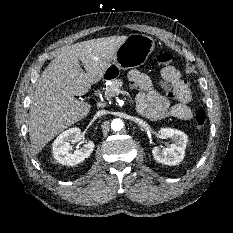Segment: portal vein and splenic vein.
Listing matches in <instances>:
<instances>
[{"label":"portal vein and splenic vein","instance_id":"portal-vein-and-splenic-vein-1","mask_svg":"<svg viewBox=\"0 0 233 233\" xmlns=\"http://www.w3.org/2000/svg\"><path fill=\"white\" fill-rule=\"evenodd\" d=\"M119 93H121V94H123V95H125V96L130 97V94H129L128 92H126V91H118V94H119Z\"/></svg>","mask_w":233,"mask_h":233}]
</instances>
